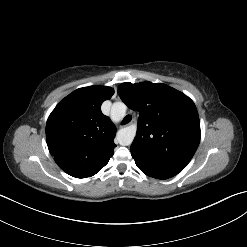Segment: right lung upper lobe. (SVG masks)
Returning a JSON list of instances; mask_svg holds the SVG:
<instances>
[{
    "instance_id": "cb5924a9",
    "label": "right lung upper lobe",
    "mask_w": 247,
    "mask_h": 247,
    "mask_svg": "<svg viewBox=\"0 0 247 247\" xmlns=\"http://www.w3.org/2000/svg\"><path fill=\"white\" fill-rule=\"evenodd\" d=\"M113 94L114 90L106 86L80 88L50 114L46 124L48 149L67 174L90 177L112 157L116 127L100 107Z\"/></svg>"
}]
</instances>
